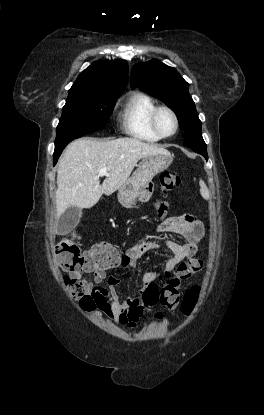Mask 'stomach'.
Segmentation results:
<instances>
[{
    "label": "stomach",
    "instance_id": "obj_1",
    "mask_svg": "<svg viewBox=\"0 0 264 415\" xmlns=\"http://www.w3.org/2000/svg\"><path fill=\"white\" fill-rule=\"evenodd\" d=\"M171 162L169 153L142 158L132 176L118 189L119 203L125 208H132L146 185L155 175L167 169Z\"/></svg>",
    "mask_w": 264,
    "mask_h": 415
}]
</instances>
